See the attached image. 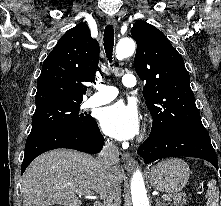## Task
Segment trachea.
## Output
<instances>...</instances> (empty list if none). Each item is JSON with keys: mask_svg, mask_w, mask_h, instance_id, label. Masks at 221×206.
<instances>
[{"mask_svg": "<svg viewBox=\"0 0 221 206\" xmlns=\"http://www.w3.org/2000/svg\"><path fill=\"white\" fill-rule=\"evenodd\" d=\"M113 47H114V29L112 25L109 24L105 27L104 30V49L107 58L110 62H112Z\"/></svg>", "mask_w": 221, "mask_h": 206, "instance_id": "obj_1", "label": "trachea"}]
</instances>
